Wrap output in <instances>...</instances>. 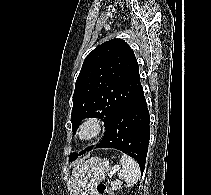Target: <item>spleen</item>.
Masks as SVG:
<instances>
[{
  "mask_svg": "<svg viewBox=\"0 0 211 195\" xmlns=\"http://www.w3.org/2000/svg\"><path fill=\"white\" fill-rule=\"evenodd\" d=\"M120 164L122 170L118 173V177L124 180L128 186L136 184L140 177V167L138 163L130 156L123 154Z\"/></svg>",
  "mask_w": 211,
  "mask_h": 195,
  "instance_id": "1",
  "label": "spleen"
}]
</instances>
